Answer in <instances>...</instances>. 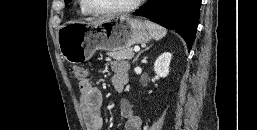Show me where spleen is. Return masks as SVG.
<instances>
[{
	"mask_svg": "<svg viewBox=\"0 0 257 130\" xmlns=\"http://www.w3.org/2000/svg\"><path fill=\"white\" fill-rule=\"evenodd\" d=\"M145 25L149 30L151 37L155 40H160L167 34V30L158 24L146 20Z\"/></svg>",
	"mask_w": 257,
	"mask_h": 130,
	"instance_id": "obj_1",
	"label": "spleen"
}]
</instances>
